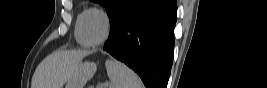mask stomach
Returning <instances> with one entry per match:
<instances>
[{"label": "stomach", "instance_id": "1", "mask_svg": "<svg viewBox=\"0 0 267 88\" xmlns=\"http://www.w3.org/2000/svg\"><path fill=\"white\" fill-rule=\"evenodd\" d=\"M97 70L95 63L85 61L80 63L70 76L65 88H83Z\"/></svg>", "mask_w": 267, "mask_h": 88}]
</instances>
